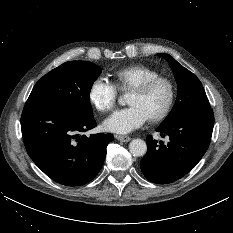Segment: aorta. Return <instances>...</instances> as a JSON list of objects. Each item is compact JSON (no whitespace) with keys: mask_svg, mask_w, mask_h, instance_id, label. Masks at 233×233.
<instances>
[{"mask_svg":"<svg viewBox=\"0 0 233 233\" xmlns=\"http://www.w3.org/2000/svg\"><path fill=\"white\" fill-rule=\"evenodd\" d=\"M119 103L123 104L122 98L119 99ZM129 151L133 156L141 157L147 152L146 142L142 139H134L129 144Z\"/></svg>","mask_w":233,"mask_h":233,"instance_id":"aorta-1","label":"aorta"}]
</instances>
